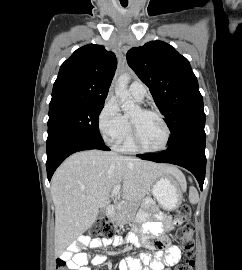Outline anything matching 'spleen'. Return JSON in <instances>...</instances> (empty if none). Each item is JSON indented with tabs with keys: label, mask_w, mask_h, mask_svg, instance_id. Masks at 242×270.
<instances>
[{
	"label": "spleen",
	"mask_w": 242,
	"mask_h": 270,
	"mask_svg": "<svg viewBox=\"0 0 242 270\" xmlns=\"http://www.w3.org/2000/svg\"><path fill=\"white\" fill-rule=\"evenodd\" d=\"M189 201L192 204H196L199 201L198 192H197V190L194 187H190V190H189Z\"/></svg>",
	"instance_id": "3e777b00"
}]
</instances>
